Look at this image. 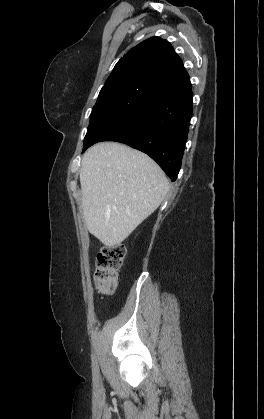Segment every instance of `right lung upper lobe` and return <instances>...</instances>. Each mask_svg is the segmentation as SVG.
I'll list each match as a JSON object with an SVG mask.
<instances>
[{"label": "right lung upper lobe", "mask_w": 264, "mask_h": 419, "mask_svg": "<svg viewBox=\"0 0 264 419\" xmlns=\"http://www.w3.org/2000/svg\"><path fill=\"white\" fill-rule=\"evenodd\" d=\"M130 85L153 96L191 87L182 60L166 40L151 37L121 58L103 88Z\"/></svg>", "instance_id": "1"}]
</instances>
